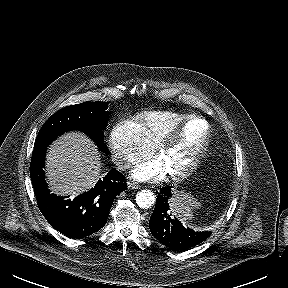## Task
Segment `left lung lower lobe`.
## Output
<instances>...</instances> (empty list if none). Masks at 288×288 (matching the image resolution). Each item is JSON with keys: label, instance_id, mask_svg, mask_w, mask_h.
Masks as SVG:
<instances>
[{"label": "left lung lower lobe", "instance_id": "left-lung-lower-lobe-1", "mask_svg": "<svg viewBox=\"0 0 288 288\" xmlns=\"http://www.w3.org/2000/svg\"><path fill=\"white\" fill-rule=\"evenodd\" d=\"M171 196V187L160 189L149 226L153 236L162 244L172 250L182 251L200 244L211 235V232H195L173 218L169 207Z\"/></svg>", "mask_w": 288, "mask_h": 288}]
</instances>
